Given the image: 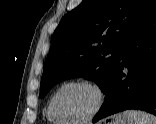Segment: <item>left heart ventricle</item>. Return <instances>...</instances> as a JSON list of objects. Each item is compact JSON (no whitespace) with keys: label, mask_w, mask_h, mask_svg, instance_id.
<instances>
[{"label":"left heart ventricle","mask_w":156,"mask_h":124,"mask_svg":"<svg viewBox=\"0 0 156 124\" xmlns=\"http://www.w3.org/2000/svg\"><path fill=\"white\" fill-rule=\"evenodd\" d=\"M95 92L85 86H71L64 89L57 98L56 109L66 119H80L95 107Z\"/></svg>","instance_id":"b2bd125f"}]
</instances>
